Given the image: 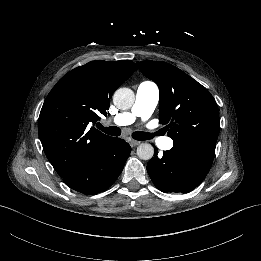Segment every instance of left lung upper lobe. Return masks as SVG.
<instances>
[{"instance_id":"left-lung-upper-lobe-1","label":"left lung upper lobe","mask_w":261,"mask_h":261,"mask_svg":"<svg viewBox=\"0 0 261 261\" xmlns=\"http://www.w3.org/2000/svg\"><path fill=\"white\" fill-rule=\"evenodd\" d=\"M137 65L159 87V120L169 124L165 128L174 144L199 145L215 151L219 111L209 91L166 62L142 61Z\"/></svg>"}]
</instances>
